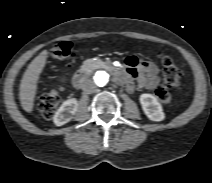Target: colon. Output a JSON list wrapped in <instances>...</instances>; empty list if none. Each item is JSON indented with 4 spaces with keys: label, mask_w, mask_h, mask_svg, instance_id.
I'll list each match as a JSON object with an SVG mask.
<instances>
[{
    "label": "colon",
    "mask_w": 212,
    "mask_h": 183,
    "mask_svg": "<svg viewBox=\"0 0 212 183\" xmlns=\"http://www.w3.org/2000/svg\"><path fill=\"white\" fill-rule=\"evenodd\" d=\"M75 54L73 45L68 41L56 43L50 49V55L58 60L73 59ZM161 60L163 64V83L162 86L156 90L155 95L160 102L168 103L171 98L168 88L178 87L183 81V73L170 57L163 55ZM60 100L61 97L58 89H52L44 94L39 102L40 114L46 119L51 118Z\"/></svg>",
    "instance_id": "1"
}]
</instances>
